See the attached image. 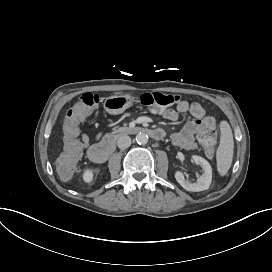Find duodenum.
I'll list each match as a JSON object with an SVG mask.
<instances>
[{
    "label": "duodenum",
    "mask_w": 272,
    "mask_h": 272,
    "mask_svg": "<svg viewBox=\"0 0 272 272\" xmlns=\"http://www.w3.org/2000/svg\"><path fill=\"white\" fill-rule=\"evenodd\" d=\"M134 132H145L153 139H161L164 136V132L161 129L140 128L137 127ZM115 148V139L113 136H107L100 142L93 144L87 151L88 158L95 163L105 162L109 156L113 153Z\"/></svg>",
    "instance_id": "obj_1"
}]
</instances>
